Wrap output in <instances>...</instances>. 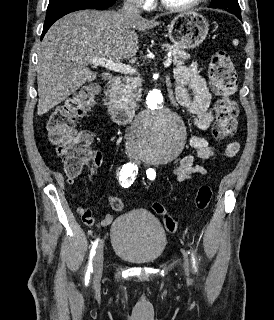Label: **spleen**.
Instances as JSON below:
<instances>
[{"label": "spleen", "instance_id": "3e777b00", "mask_svg": "<svg viewBox=\"0 0 274 320\" xmlns=\"http://www.w3.org/2000/svg\"><path fill=\"white\" fill-rule=\"evenodd\" d=\"M234 46H238V42H237V40H235V42H234Z\"/></svg>", "mask_w": 274, "mask_h": 320}]
</instances>
